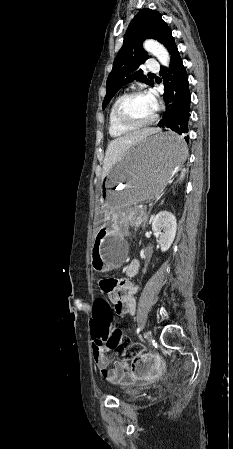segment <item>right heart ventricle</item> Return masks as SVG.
Here are the masks:
<instances>
[{"mask_svg":"<svg viewBox=\"0 0 233 449\" xmlns=\"http://www.w3.org/2000/svg\"><path fill=\"white\" fill-rule=\"evenodd\" d=\"M118 98H116L115 101L112 103L108 114V131L110 136L113 138L123 137L132 132V130L130 129L121 127L114 119L113 108Z\"/></svg>","mask_w":233,"mask_h":449,"instance_id":"obj_1","label":"right heart ventricle"}]
</instances>
